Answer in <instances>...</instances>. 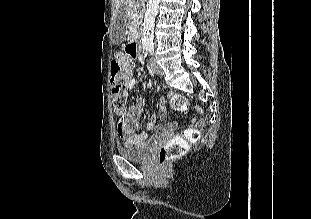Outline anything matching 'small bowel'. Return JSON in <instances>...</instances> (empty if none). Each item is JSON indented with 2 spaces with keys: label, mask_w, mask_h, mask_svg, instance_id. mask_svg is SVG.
<instances>
[{
  "label": "small bowel",
  "mask_w": 311,
  "mask_h": 219,
  "mask_svg": "<svg viewBox=\"0 0 311 219\" xmlns=\"http://www.w3.org/2000/svg\"><path fill=\"white\" fill-rule=\"evenodd\" d=\"M116 61L120 63L124 68L125 86L130 88L133 83V69L130 65V56L127 53L119 52L116 55ZM144 101L142 98H138L133 104H131L125 114V118L118 122L117 132L119 137L125 142L126 145H141L148 138L149 132L156 129L157 136L163 137L170 133L172 130L171 125H158V118L164 117L166 114V107L164 100L159 102V116L157 114H151L145 124V131L137 133V127L142 111ZM199 111V109H196Z\"/></svg>",
  "instance_id": "1"
}]
</instances>
